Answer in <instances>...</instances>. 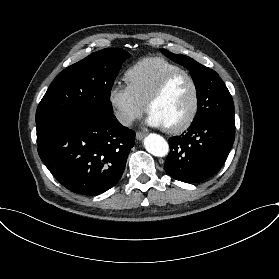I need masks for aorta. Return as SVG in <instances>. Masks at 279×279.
<instances>
[{
  "label": "aorta",
  "instance_id": "1",
  "mask_svg": "<svg viewBox=\"0 0 279 279\" xmlns=\"http://www.w3.org/2000/svg\"><path fill=\"white\" fill-rule=\"evenodd\" d=\"M145 149L152 155L157 157H164L169 152V145L167 141L158 134H149L144 139Z\"/></svg>",
  "mask_w": 279,
  "mask_h": 279
}]
</instances>
